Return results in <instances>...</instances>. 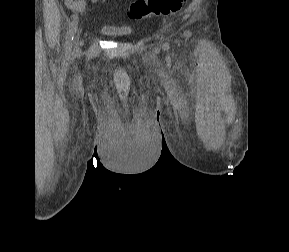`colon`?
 I'll return each mask as SVG.
<instances>
[{"instance_id": "colon-1", "label": "colon", "mask_w": 289, "mask_h": 252, "mask_svg": "<svg viewBox=\"0 0 289 252\" xmlns=\"http://www.w3.org/2000/svg\"><path fill=\"white\" fill-rule=\"evenodd\" d=\"M185 0H134L129 6V16L140 20L151 16H167L178 12Z\"/></svg>"}]
</instances>
